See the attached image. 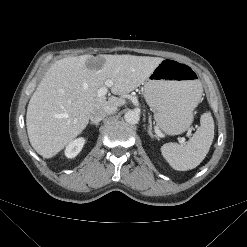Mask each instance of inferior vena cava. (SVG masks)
Listing matches in <instances>:
<instances>
[{"label":"inferior vena cava","instance_id":"602c4592","mask_svg":"<svg viewBox=\"0 0 247 247\" xmlns=\"http://www.w3.org/2000/svg\"><path fill=\"white\" fill-rule=\"evenodd\" d=\"M117 111V107L110 106L103 110H96L93 111L90 115V120L94 123H99L101 120H103L106 116L111 115Z\"/></svg>","mask_w":247,"mask_h":247}]
</instances>
